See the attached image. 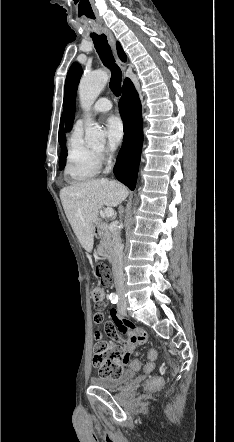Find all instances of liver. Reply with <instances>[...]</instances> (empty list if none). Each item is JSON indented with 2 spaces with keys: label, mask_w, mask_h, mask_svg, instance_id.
Here are the masks:
<instances>
[{
  "label": "liver",
  "mask_w": 234,
  "mask_h": 442,
  "mask_svg": "<svg viewBox=\"0 0 234 442\" xmlns=\"http://www.w3.org/2000/svg\"><path fill=\"white\" fill-rule=\"evenodd\" d=\"M128 196L122 184L107 179L75 183L60 191L66 217L81 246L91 252L94 244V225L99 210L104 206L116 207Z\"/></svg>",
  "instance_id": "6515ba94"
}]
</instances>
